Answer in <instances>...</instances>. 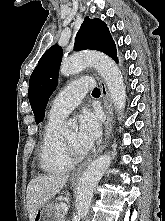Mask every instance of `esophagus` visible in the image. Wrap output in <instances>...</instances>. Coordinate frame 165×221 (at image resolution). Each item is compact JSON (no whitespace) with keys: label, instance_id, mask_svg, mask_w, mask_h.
<instances>
[{"label":"esophagus","instance_id":"1","mask_svg":"<svg viewBox=\"0 0 165 221\" xmlns=\"http://www.w3.org/2000/svg\"><path fill=\"white\" fill-rule=\"evenodd\" d=\"M96 78H97V80L99 82V85H100L101 96L103 98L104 109H105L107 119H106V123H105V132H104L103 142H102L100 148L98 149L97 153L95 154V156L93 158L100 155L103 152V150L106 148L109 137H110V134H111V131H112V123H113L112 102H111V99H110V95H109L107 86L101 78H99V77H96ZM93 158L89 159L87 162L82 164V166L74 173V175L75 176L80 175L86 169V167L91 163Z\"/></svg>","mask_w":165,"mask_h":221}]
</instances>
